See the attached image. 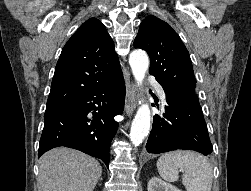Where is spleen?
Instances as JSON below:
<instances>
[{"mask_svg": "<svg viewBox=\"0 0 251 191\" xmlns=\"http://www.w3.org/2000/svg\"><path fill=\"white\" fill-rule=\"evenodd\" d=\"M178 167L184 169L182 183L186 191H211L213 171L207 157L190 149H176L157 159V169L166 181H177Z\"/></svg>", "mask_w": 251, "mask_h": 191, "instance_id": "obj_1", "label": "spleen"}]
</instances>
